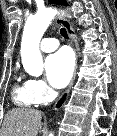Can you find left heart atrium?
<instances>
[{"label":"left heart atrium","mask_w":117,"mask_h":136,"mask_svg":"<svg viewBox=\"0 0 117 136\" xmlns=\"http://www.w3.org/2000/svg\"><path fill=\"white\" fill-rule=\"evenodd\" d=\"M74 56L67 48H62L51 54L46 60L47 77L55 88L65 87L73 74Z\"/></svg>","instance_id":"left-heart-atrium-1"}]
</instances>
